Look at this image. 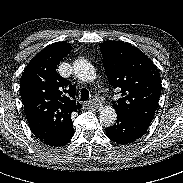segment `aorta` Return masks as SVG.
Segmentation results:
<instances>
[{
    "label": "aorta",
    "mask_w": 183,
    "mask_h": 183,
    "mask_svg": "<svg viewBox=\"0 0 183 183\" xmlns=\"http://www.w3.org/2000/svg\"><path fill=\"white\" fill-rule=\"evenodd\" d=\"M74 75L84 82H91L96 79L94 66L85 59H78L73 63ZM117 119L116 111L111 106H106L100 112L99 120L105 126H112Z\"/></svg>",
    "instance_id": "1"
}]
</instances>
